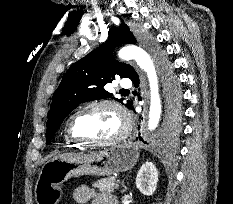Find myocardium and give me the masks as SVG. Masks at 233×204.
Instances as JSON below:
<instances>
[{
	"label": "myocardium",
	"mask_w": 233,
	"mask_h": 204,
	"mask_svg": "<svg viewBox=\"0 0 233 204\" xmlns=\"http://www.w3.org/2000/svg\"><path fill=\"white\" fill-rule=\"evenodd\" d=\"M94 107H109V108L114 109L118 113V115L120 116L122 120L123 127H122V130L116 136L112 137L109 140H105V141H93V140H88V139L79 137L74 134L73 129H72L74 119L82 112L90 108H94ZM131 129H132V120H131V117L128 111L125 109L123 105H121L119 102L112 100V99L93 100V101L83 104L69 116L66 122L67 135L72 140L79 142L86 146H91V147H110V146L116 145L128 137V135L131 132Z\"/></svg>",
	"instance_id": "f54148a6"
}]
</instances>
